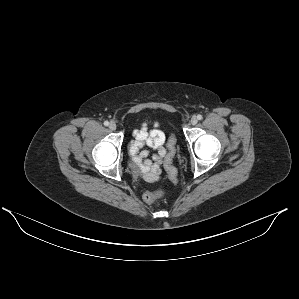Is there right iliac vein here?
Instances as JSON below:
<instances>
[{
    "label": "right iliac vein",
    "instance_id": "63e3f726",
    "mask_svg": "<svg viewBox=\"0 0 299 299\" xmlns=\"http://www.w3.org/2000/svg\"><path fill=\"white\" fill-rule=\"evenodd\" d=\"M109 128H110L111 130H116L117 126H116V124H115L114 122H111V123L109 124Z\"/></svg>",
    "mask_w": 299,
    "mask_h": 299
}]
</instances>
